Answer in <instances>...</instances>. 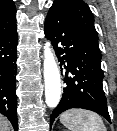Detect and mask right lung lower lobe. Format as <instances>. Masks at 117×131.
Instances as JSON below:
<instances>
[{"instance_id": "98d812e1", "label": "right lung lower lobe", "mask_w": 117, "mask_h": 131, "mask_svg": "<svg viewBox=\"0 0 117 131\" xmlns=\"http://www.w3.org/2000/svg\"><path fill=\"white\" fill-rule=\"evenodd\" d=\"M18 34L16 27L0 36V113L5 115L17 130L16 60Z\"/></svg>"}]
</instances>
